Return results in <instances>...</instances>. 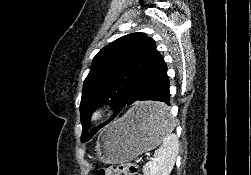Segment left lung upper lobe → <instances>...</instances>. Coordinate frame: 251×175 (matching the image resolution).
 Masks as SVG:
<instances>
[{
    "mask_svg": "<svg viewBox=\"0 0 251 175\" xmlns=\"http://www.w3.org/2000/svg\"><path fill=\"white\" fill-rule=\"evenodd\" d=\"M162 58L155 41L144 33L120 37L97 53L83 85L80 103L82 142L91 139L104 126L87 133L93 109L101 104L126 103L138 81Z\"/></svg>",
    "mask_w": 251,
    "mask_h": 175,
    "instance_id": "1",
    "label": "left lung upper lobe"
}]
</instances>
